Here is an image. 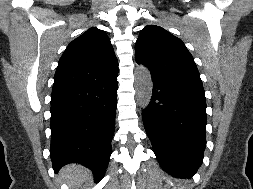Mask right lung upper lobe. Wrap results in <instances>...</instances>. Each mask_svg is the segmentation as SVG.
<instances>
[{"instance_id":"obj_1","label":"right lung upper lobe","mask_w":253,"mask_h":189,"mask_svg":"<svg viewBox=\"0 0 253 189\" xmlns=\"http://www.w3.org/2000/svg\"><path fill=\"white\" fill-rule=\"evenodd\" d=\"M118 74V61L103 30L90 28L70 42L54 76V85L90 84Z\"/></svg>"}]
</instances>
